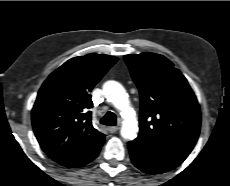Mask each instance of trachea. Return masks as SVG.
Returning a JSON list of instances; mask_svg holds the SVG:
<instances>
[{"mask_svg":"<svg viewBox=\"0 0 230 186\" xmlns=\"http://www.w3.org/2000/svg\"><path fill=\"white\" fill-rule=\"evenodd\" d=\"M116 116L113 112H107L101 119L100 123L107 126H115L116 125Z\"/></svg>","mask_w":230,"mask_h":186,"instance_id":"3493384b","label":"trachea"}]
</instances>
